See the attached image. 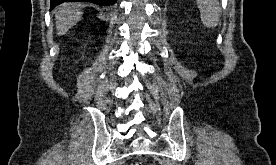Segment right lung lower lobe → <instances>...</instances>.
Returning <instances> with one entry per match:
<instances>
[{
	"mask_svg": "<svg viewBox=\"0 0 276 165\" xmlns=\"http://www.w3.org/2000/svg\"><path fill=\"white\" fill-rule=\"evenodd\" d=\"M77 1L92 2L102 6H109V5L115 4L117 0H51L50 10H52L55 6L63 2H77Z\"/></svg>",
	"mask_w": 276,
	"mask_h": 165,
	"instance_id": "1",
	"label": "right lung lower lobe"
}]
</instances>
